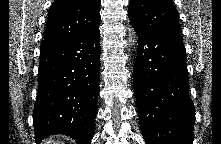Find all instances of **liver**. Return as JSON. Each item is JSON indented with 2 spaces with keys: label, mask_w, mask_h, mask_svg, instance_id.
Returning <instances> with one entry per match:
<instances>
[{
  "label": "liver",
  "mask_w": 221,
  "mask_h": 144,
  "mask_svg": "<svg viewBox=\"0 0 221 144\" xmlns=\"http://www.w3.org/2000/svg\"><path fill=\"white\" fill-rule=\"evenodd\" d=\"M42 144H63V142L59 141V139L56 140L54 138H49V139L43 140Z\"/></svg>",
  "instance_id": "6515ba94"
}]
</instances>
